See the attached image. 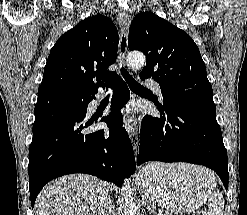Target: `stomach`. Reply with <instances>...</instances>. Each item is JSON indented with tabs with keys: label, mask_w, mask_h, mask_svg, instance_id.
I'll return each mask as SVG.
<instances>
[{
	"label": "stomach",
	"mask_w": 247,
	"mask_h": 215,
	"mask_svg": "<svg viewBox=\"0 0 247 215\" xmlns=\"http://www.w3.org/2000/svg\"><path fill=\"white\" fill-rule=\"evenodd\" d=\"M143 195L170 213H190L199 208L215 186L207 169L189 164L152 163L137 175Z\"/></svg>",
	"instance_id": "obj_1"
}]
</instances>
